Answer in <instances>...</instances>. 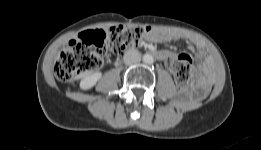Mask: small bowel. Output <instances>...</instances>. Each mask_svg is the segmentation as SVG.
<instances>
[{"mask_svg":"<svg viewBox=\"0 0 261 150\" xmlns=\"http://www.w3.org/2000/svg\"><path fill=\"white\" fill-rule=\"evenodd\" d=\"M184 37L185 36H183L177 32L159 30V29H151L149 31V33L146 35L147 40L150 42H153V43L170 42V41L178 40V39L184 38ZM188 39L193 42V44L195 45V47L199 53H204V47L200 42H198L194 39H191V38H188ZM157 57L159 59L164 60L167 65L168 59L174 57V55L168 50H162V51L157 52Z\"/></svg>","mask_w":261,"mask_h":150,"instance_id":"small-bowel-1","label":"small bowel"}]
</instances>
